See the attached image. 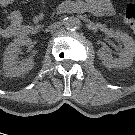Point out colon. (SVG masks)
<instances>
[{
	"instance_id": "1",
	"label": "colon",
	"mask_w": 135,
	"mask_h": 135,
	"mask_svg": "<svg viewBox=\"0 0 135 135\" xmlns=\"http://www.w3.org/2000/svg\"><path fill=\"white\" fill-rule=\"evenodd\" d=\"M124 19L126 24L130 27V29L135 34V4L130 3L127 5L124 13Z\"/></svg>"
}]
</instances>
